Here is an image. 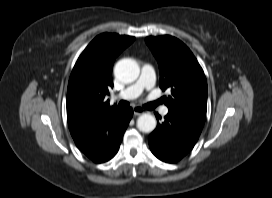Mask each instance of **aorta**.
<instances>
[{"instance_id": "762f6f07", "label": "aorta", "mask_w": 272, "mask_h": 198, "mask_svg": "<svg viewBox=\"0 0 272 198\" xmlns=\"http://www.w3.org/2000/svg\"><path fill=\"white\" fill-rule=\"evenodd\" d=\"M140 73L138 64L132 59L119 60L114 68L116 78L124 83L135 81ZM137 127L144 133H150L156 128V119L153 115L145 113L138 117Z\"/></svg>"}]
</instances>
